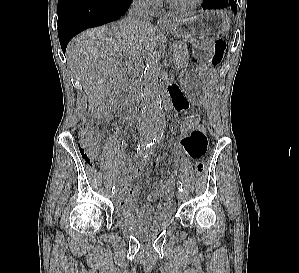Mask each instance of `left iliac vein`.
<instances>
[{
    "instance_id": "1",
    "label": "left iliac vein",
    "mask_w": 299,
    "mask_h": 273,
    "mask_svg": "<svg viewBox=\"0 0 299 273\" xmlns=\"http://www.w3.org/2000/svg\"><path fill=\"white\" fill-rule=\"evenodd\" d=\"M176 196H177V200H178L179 202H181V201L184 200V193H183V192L178 191L177 194H176Z\"/></svg>"
}]
</instances>
